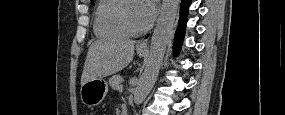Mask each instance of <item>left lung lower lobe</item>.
<instances>
[{
  "label": "left lung lower lobe",
  "instance_id": "obj_1",
  "mask_svg": "<svg viewBox=\"0 0 285 115\" xmlns=\"http://www.w3.org/2000/svg\"><path fill=\"white\" fill-rule=\"evenodd\" d=\"M191 4L190 0H181L180 19L178 28L175 34L174 54L177 55L185 33L186 16L188 14V7Z\"/></svg>",
  "mask_w": 285,
  "mask_h": 115
}]
</instances>
